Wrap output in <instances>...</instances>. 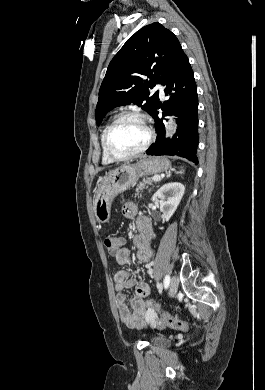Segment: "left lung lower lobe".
<instances>
[{
  "label": "left lung lower lobe",
  "instance_id": "obj_1",
  "mask_svg": "<svg viewBox=\"0 0 265 390\" xmlns=\"http://www.w3.org/2000/svg\"><path fill=\"white\" fill-rule=\"evenodd\" d=\"M162 85L165 86V95H169L170 99L165 102V107L158 103L152 115L155 120L157 138L155 143L147 149L146 154L180 156L197 164V88L192 68L184 52L181 53ZM159 108L164 111L163 117L168 114L178 117L176 119L178 128L172 139L165 138L163 118L158 117Z\"/></svg>",
  "mask_w": 265,
  "mask_h": 390
}]
</instances>
